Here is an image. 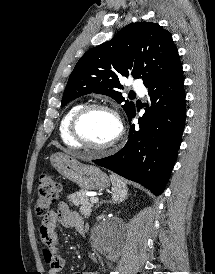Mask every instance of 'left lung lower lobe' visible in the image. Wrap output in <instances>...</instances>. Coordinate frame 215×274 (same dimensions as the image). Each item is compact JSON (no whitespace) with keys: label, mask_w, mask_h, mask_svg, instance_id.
Wrapping results in <instances>:
<instances>
[{"label":"left lung lower lobe","mask_w":215,"mask_h":274,"mask_svg":"<svg viewBox=\"0 0 215 274\" xmlns=\"http://www.w3.org/2000/svg\"><path fill=\"white\" fill-rule=\"evenodd\" d=\"M151 108L139 118V129L131 124L125 146L116 154L94 163L160 195L175 164L185 126L186 102L182 65L162 80L146 86Z\"/></svg>","instance_id":"obj_1"}]
</instances>
